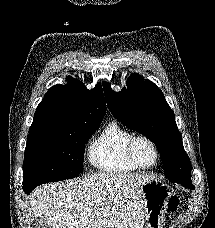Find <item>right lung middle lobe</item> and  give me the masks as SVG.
I'll use <instances>...</instances> for the list:
<instances>
[{
	"label": "right lung middle lobe",
	"instance_id": "1",
	"mask_svg": "<svg viewBox=\"0 0 215 228\" xmlns=\"http://www.w3.org/2000/svg\"><path fill=\"white\" fill-rule=\"evenodd\" d=\"M100 126L80 123L29 133L23 163V188L71 179L83 171L85 143Z\"/></svg>",
	"mask_w": 215,
	"mask_h": 228
}]
</instances>
